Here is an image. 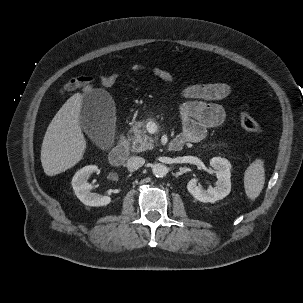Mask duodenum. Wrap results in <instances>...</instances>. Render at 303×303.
Returning a JSON list of instances; mask_svg holds the SVG:
<instances>
[{
    "instance_id": "obj_1",
    "label": "duodenum",
    "mask_w": 303,
    "mask_h": 303,
    "mask_svg": "<svg viewBox=\"0 0 303 303\" xmlns=\"http://www.w3.org/2000/svg\"><path fill=\"white\" fill-rule=\"evenodd\" d=\"M184 143L185 142L182 139L176 138L171 141L169 148L172 151H179L184 147ZM127 156L128 145L126 141H121L111 149L108 155V159L112 165L119 166L126 160Z\"/></svg>"
}]
</instances>
